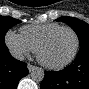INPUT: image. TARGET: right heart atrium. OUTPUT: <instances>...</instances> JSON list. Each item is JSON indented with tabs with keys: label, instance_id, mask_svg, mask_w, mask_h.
I'll return each mask as SVG.
<instances>
[{
	"label": "right heart atrium",
	"instance_id": "right-heart-atrium-1",
	"mask_svg": "<svg viewBox=\"0 0 89 89\" xmlns=\"http://www.w3.org/2000/svg\"><path fill=\"white\" fill-rule=\"evenodd\" d=\"M4 40L10 53L17 58H22L25 55L34 52V48L29 42L13 30H8L6 32Z\"/></svg>",
	"mask_w": 89,
	"mask_h": 89
}]
</instances>
